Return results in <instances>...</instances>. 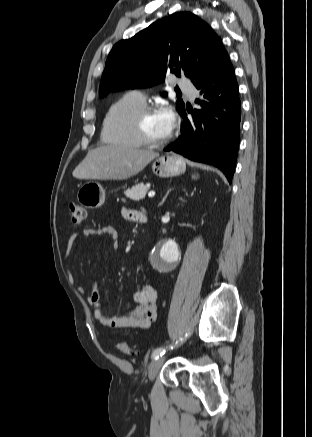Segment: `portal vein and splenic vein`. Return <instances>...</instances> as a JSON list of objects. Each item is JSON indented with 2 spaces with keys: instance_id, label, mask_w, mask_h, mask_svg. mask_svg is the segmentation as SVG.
I'll list each match as a JSON object with an SVG mask.
<instances>
[{
  "instance_id": "portal-vein-and-splenic-vein-1",
  "label": "portal vein and splenic vein",
  "mask_w": 312,
  "mask_h": 437,
  "mask_svg": "<svg viewBox=\"0 0 312 437\" xmlns=\"http://www.w3.org/2000/svg\"><path fill=\"white\" fill-rule=\"evenodd\" d=\"M154 196H155V192L154 191H151V192L148 193V197L152 198Z\"/></svg>"
}]
</instances>
